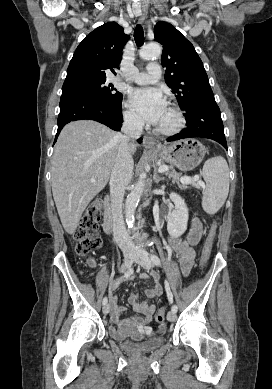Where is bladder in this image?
<instances>
[{"label":"bladder","mask_w":272,"mask_h":389,"mask_svg":"<svg viewBox=\"0 0 272 389\" xmlns=\"http://www.w3.org/2000/svg\"><path fill=\"white\" fill-rule=\"evenodd\" d=\"M110 335L116 340L119 347L131 355H145L154 352L164 344L163 338H149L140 342H134L129 340H119L111 332Z\"/></svg>","instance_id":"bladder-1"}]
</instances>
